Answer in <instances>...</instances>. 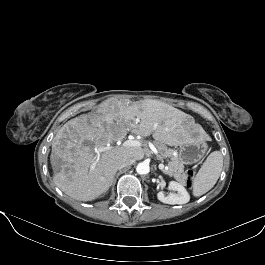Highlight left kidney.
I'll list each match as a JSON object with an SVG mask.
<instances>
[{
  "label": "left kidney",
  "instance_id": "5707ae66",
  "mask_svg": "<svg viewBox=\"0 0 265 265\" xmlns=\"http://www.w3.org/2000/svg\"><path fill=\"white\" fill-rule=\"evenodd\" d=\"M169 188L173 191H176V193H169L167 196L163 192L157 193V198L159 201L165 203V204H185L188 203L190 200V195L185 189V187L176 182V181H170L169 182Z\"/></svg>",
  "mask_w": 265,
  "mask_h": 265
}]
</instances>
